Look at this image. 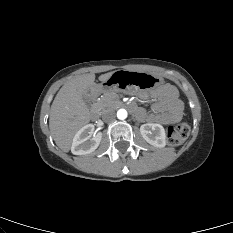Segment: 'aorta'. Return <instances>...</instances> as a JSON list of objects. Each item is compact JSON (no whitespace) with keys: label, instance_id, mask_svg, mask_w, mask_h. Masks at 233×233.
Instances as JSON below:
<instances>
[{"label":"aorta","instance_id":"aorta-1","mask_svg":"<svg viewBox=\"0 0 233 233\" xmlns=\"http://www.w3.org/2000/svg\"><path fill=\"white\" fill-rule=\"evenodd\" d=\"M117 117L120 120H124L127 118V111L125 109H119L117 111Z\"/></svg>","mask_w":233,"mask_h":233}]
</instances>
